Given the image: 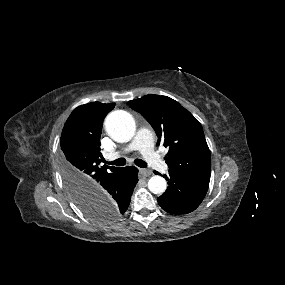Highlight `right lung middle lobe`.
<instances>
[{
    "label": "right lung middle lobe",
    "mask_w": 285,
    "mask_h": 285,
    "mask_svg": "<svg viewBox=\"0 0 285 285\" xmlns=\"http://www.w3.org/2000/svg\"><path fill=\"white\" fill-rule=\"evenodd\" d=\"M65 184L71 193L74 201L81 211L89 218L99 222H110L118 218L116 212L107 204H101L87 197H80L77 193L76 186L69 182L66 169L62 170Z\"/></svg>",
    "instance_id": "right-lung-middle-lobe-1"
}]
</instances>
